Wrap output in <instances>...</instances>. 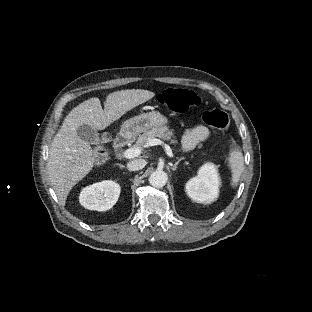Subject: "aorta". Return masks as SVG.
I'll use <instances>...</instances> for the list:
<instances>
[{
  "label": "aorta",
  "instance_id": "obj_1",
  "mask_svg": "<svg viewBox=\"0 0 312 312\" xmlns=\"http://www.w3.org/2000/svg\"><path fill=\"white\" fill-rule=\"evenodd\" d=\"M167 182V175L164 171L155 170L149 176V184L154 188H162Z\"/></svg>",
  "mask_w": 312,
  "mask_h": 312
}]
</instances>
